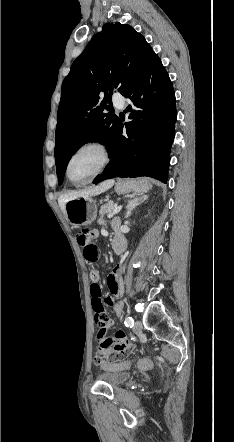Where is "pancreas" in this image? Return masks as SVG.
I'll return each instance as SVG.
<instances>
[{"label": "pancreas", "mask_w": 234, "mask_h": 442, "mask_svg": "<svg viewBox=\"0 0 234 442\" xmlns=\"http://www.w3.org/2000/svg\"><path fill=\"white\" fill-rule=\"evenodd\" d=\"M116 206H117L116 203H114L113 201H109V202H107L106 204H103L100 207L99 214L102 215V216L105 215V214H109V213H111L114 210V208Z\"/></svg>", "instance_id": "cf45deb5"}]
</instances>
